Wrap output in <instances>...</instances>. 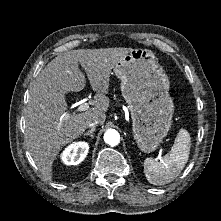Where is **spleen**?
<instances>
[{"mask_svg": "<svg viewBox=\"0 0 221 221\" xmlns=\"http://www.w3.org/2000/svg\"><path fill=\"white\" fill-rule=\"evenodd\" d=\"M191 137L187 130L180 129L168 154L160 161L147 158L144 173L149 183L164 185L176 179L188 161Z\"/></svg>", "mask_w": 221, "mask_h": 221, "instance_id": "1", "label": "spleen"}]
</instances>
